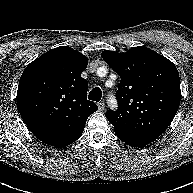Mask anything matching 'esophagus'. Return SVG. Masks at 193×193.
Wrapping results in <instances>:
<instances>
[{"mask_svg":"<svg viewBox=\"0 0 193 193\" xmlns=\"http://www.w3.org/2000/svg\"><path fill=\"white\" fill-rule=\"evenodd\" d=\"M104 108H105V103H104L103 101L99 102V103H98V109H99L100 111H103Z\"/></svg>","mask_w":193,"mask_h":193,"instance_id":"34e87169","label":"esophagus"}]
</instances>
